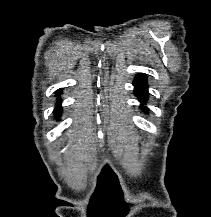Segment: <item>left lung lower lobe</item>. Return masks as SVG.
<instances>
[{
	"label": "left lung lower lobe",
	"instance_id": "1",
	"mask_svg": "<svg viewBox=\"0 0 211 217\" xmlns=\"http://www.w3.org/2000/svg\"><path fill=\"white\" fill-rule=\"evenodd\" d=\"M147 77L145 74L140 73L136 76L134 80V87H135V94L139 98V100L142 102V104L145 103L146 99L148 98V87H147ZM143 111H148V108L141 105L140 106Z\"/></svg>",
	"mask_w": 211,
	"mask_h": 217
}]
</instances>
